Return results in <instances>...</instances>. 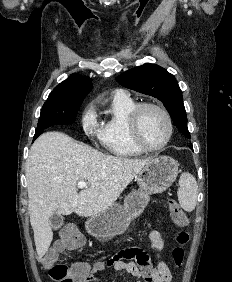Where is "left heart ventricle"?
Listing matches in <instances>:
<instances>
[{"mask_svg":"<svg viewBox=\"0 0 232 282\" xmlns=\"http://www.w3.org/2000/svg\"><path fill=\"white\" fill-rule=\"evenodd\" d=\"M140 134L143 141L150 146L161 144L167 137L168 127L165 118L154 109L143 111L140 124Z\"/></svg>","mask_w":232,"mask_h":282,"instance_id":"1","label":"left heart ventricle"}]
</instances>
